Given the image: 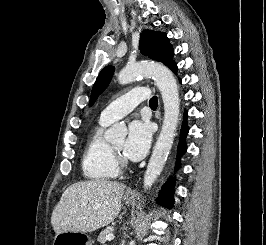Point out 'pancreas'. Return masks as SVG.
<instances>
[{"label": "pancreas", "mask_w": 266, "mask_h": 245, "mask_svg": "<svg viewBox=\"0 0 266 245\" xmlns=\"http://www.w3.org/2000/svg\"><path fill=\"white\" fill-rule=\"evenodd\" d=\"M112 233H113L112 229H105V231H101L97 239L98 243H101V245H104V243H106L107 235H112Z\"/></svg>", "instance_id": "cf45deb5"}]
</instances>
